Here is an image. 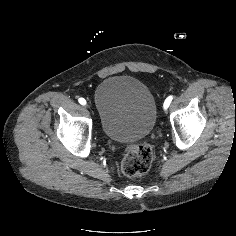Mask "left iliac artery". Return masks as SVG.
<instances>
[{
    "label": "left iliac artery",
    "instance_id": "obj_1",
    "mask_svg": "<svg viewBox=\"0 0 236 236\" xmlns=\"http://www.w3.org/2000/svg\"><path fill=\"white\" fill-rule=\"evenodd\" d=\"M172 99H173V96H172V95L168 96V97L166 98V100L164 101L163 107L166 105L167 108H168L169 105H170V103H171V101H172Z\"/></svg>",
    "mask_w": 236,
    "mask_h": 236
}]
</instances>
